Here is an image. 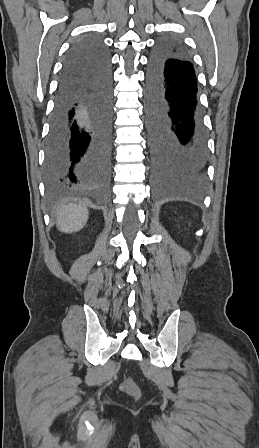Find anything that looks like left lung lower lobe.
I'll return each instance as SVG.
<instances>
[{
	"mask_svg": "<svg viewBox=\"0 0 259 448\" xmlns=\"http://www.w3.org/2000/svg\"><path fill=\"white\" fill-rule=\"evenodd\" d=\"M161 39L147 70V130L152 175L163 190H195L205 179L206 132L190 56L170 51ZM181 46V45H180Z\"/></svg>",
	"mask_w": 259,
	"mask_h": 448,
	"instance_id": "1",
	"label": "left lung lower lobe"
}]
</instances>
